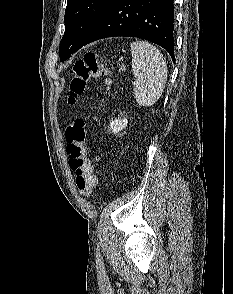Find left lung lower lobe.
Wrapping results in <instances>:
<instances>
[{
    "instance_id": "obj_1",
    "label": "left lung lower lobe",
    "mask_w": 233,
    "mask_h": 294,
    "mask_svg": "<svg viewBox=\"0 0 233 294\" xmlns=\"http://www.w3.org/2000/svg\"><path fill=\"white\" fill-rule=\"evenodd\" d=\"M173 0H111L83 46L107 37H137L162 46L174 58Z\"/></svg>"
}]
</instances>
